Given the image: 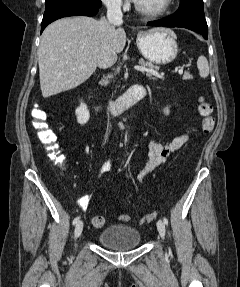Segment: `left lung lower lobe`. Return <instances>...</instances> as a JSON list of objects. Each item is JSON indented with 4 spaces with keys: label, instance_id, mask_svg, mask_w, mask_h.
I'll return each mask as SVG.
<instances>
[{
    "label": "left lung lower lobe",
    "instance_id": "0a47b994",
    "mask_svg": "<svg viewBox=\"0 0 240 287\" xmlns=\"http://www.w3.org/2000/svg\"><path fill=\"white\" fill-rule=\"evenodd\" d=\"M148 25L183 27L200 33L205 39H208V26L204 16L203 0H180V6L173 15L148 22Z\"/></svg>",
    "mask_w": 240,
    "mask_h": 287
}]
</instances>
